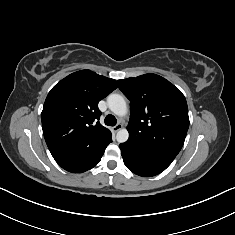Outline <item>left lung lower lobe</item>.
Wrapping results in <instances>:
<instances>
[{"instance_id": "obj_1", "label": "left lung lower lobe", "mask_w": 235, "mask_h": 235, "mask_svg": "<svg viewBox=\"0 0 235 235\" xmlns=\"http://www.w3.org/2000/svg\"><path fill=\"white\" fill-rule=\"evenodd\" d=\"M119 147L126 167L139 176H155L164 171L173 161L130 141L120 144Z\"/></svg>"}]
</instances>
